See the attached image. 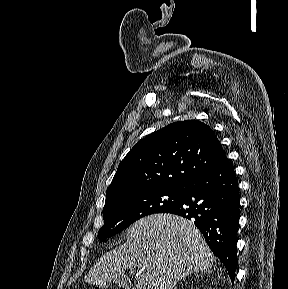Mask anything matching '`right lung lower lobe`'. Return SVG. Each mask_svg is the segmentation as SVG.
I'll list each match as a JSON object with an SVG mask.
<instances>
[{"label": "right lung lower lobe", "mask_w": 288, "mask_h": 289, "mask_svg": "<svg viewBox=\"0 0 288 289\" xmlns=\"http://www.w3.org/2000/svg\"><path fill=\"white\" fill-rule=\"evenodd\" d=\"M239 188L226 156L192 179L181 201L169 213L192 220L213 253L234 281L237 266L236 243L239 221Z\"/></svg>", "instance_id": "98d812e1"}]
</instances>
